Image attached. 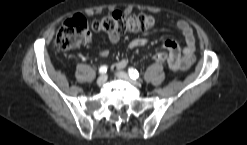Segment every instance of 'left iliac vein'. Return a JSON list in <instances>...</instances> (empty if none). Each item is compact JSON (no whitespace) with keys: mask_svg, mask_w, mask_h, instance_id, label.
<instances>
[{"mask_svg":"<svg viewBox=\"0 0 247 145\" xmlns=\"http://www.w3.org/2000/svg\"><path fill=\"white\" fill-rule=\"evenodd\" d=\"M116 76L122 80L129 82L133 86H136V87L140 86V83L130 78V76L126 72H123V71L117 72Z\"/></svg>","mask_w":247,"mask_h":145,"instance_id":"1","label":"left iliac vein"}]
</instances>
